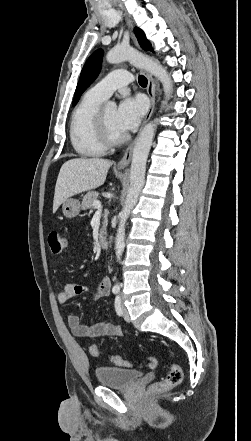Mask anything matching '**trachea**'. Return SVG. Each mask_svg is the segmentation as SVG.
I'll return each instance as SVG.
<instances>
[{
    "mask_svg": "<svg viewBox=\"0 0 251 441\" xmlns=\"http://www.w3.org/2000/svg\"><path fill=\"white\" fill-rule=\"evenodd\" d=\"M138 81H139V84L141 85V86H143V87H145V86H147V78L146 77H144L143 75H140L139 77H138Z\"/></svg>",
    "mask_w": 251,
    "mask_h": 441,
    "instance_id": "trachea-1",
    "label": "trachea"
}]
</instances>
